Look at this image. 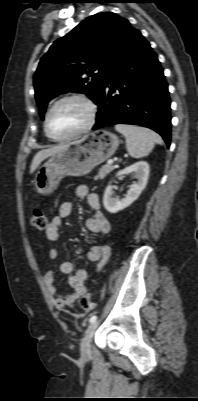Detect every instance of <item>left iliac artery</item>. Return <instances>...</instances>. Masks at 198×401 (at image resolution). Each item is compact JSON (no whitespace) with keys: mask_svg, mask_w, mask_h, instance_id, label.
<instances>
[{"mask_svg":"<svg viewBox=\"0 0 198 401\" xmlns=\"http://www.w3.org/2000/svg\"><path fill=\"white\" fill-rule=\"evenodd\" d=\"M96 319H97V316L93 315L90 317L89 322L92 323V322L96 321Z\"/></svg>","mask_w":198,"mask_h":401,"instance_id":"44dca946","label":"left iliac artery"}]
</instances>
